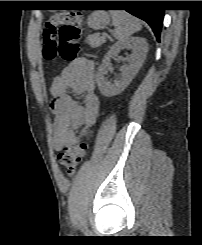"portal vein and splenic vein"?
Here are the masks:
<instances>
[{
	"instance_id": "1",
	"label": "portal vein and splenic vein",
	"mask_w": 202,
	"mask_h": 245,
	"mask_svg": "<svg viewBox=\"0 0 202 245\" xmlns=\"http://www.w3.org/2000/svg\"><path fill=\"white\" fill-rule=\"evenodd\" d=\"M103 37L105 38L106 37V34H104Z\"/></svg>"
}]
</instances>
